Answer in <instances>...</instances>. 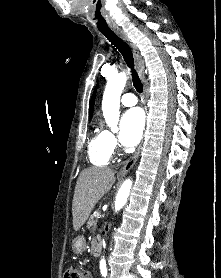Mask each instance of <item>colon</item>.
<instances>
[{
  "label": "colon",
  "instance_id": "colon-1",
  "mask_svg": "<svg viewBox=\"0 0 221 278\" xmlns=\"http://www.w3.org/2000/svg\"><path fill=\"white\" fill-rule=\"evenodd\" d=\"M64 278H84V272L79 266H69L65 271Z\"/></svg>",
  "mask_w": 221,
  "mask_h": 278
}]
</instances>
